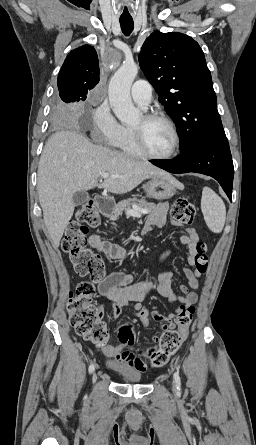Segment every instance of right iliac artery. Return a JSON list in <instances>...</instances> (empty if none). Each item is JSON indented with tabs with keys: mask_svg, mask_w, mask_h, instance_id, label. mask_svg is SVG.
Listing matches in <instances>:
<instances>
[{
	"mask_svg": "<svg viewBox=\"0 0 256 445\" xmlns=\"http://www.w3.org/2000/svg\"><path fill=\"white\" fill-rule=\"evenodd\" d=\"M94 370H95V366H94V364H91L89 366V373L91 374Z\"/></svg>",
	"mask_w": 256,
	"mask_h": 445,
	"instance_id": "right-iliac-artery-1",
	"label": "right iliac artery"
}]
</instances>
